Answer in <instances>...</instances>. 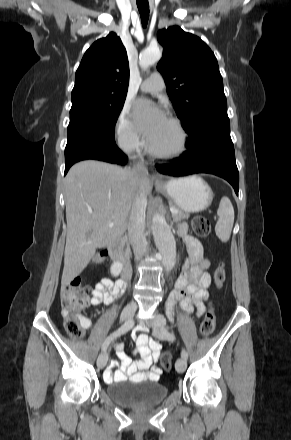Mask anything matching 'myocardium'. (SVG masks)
Masks as SVG:
<instances>
[{
    "mask_svg": "<svg viewBox=\"0 0 291 440\" xmlns=\"http://www.w3.org/2000/svg\"><path fill=\"white\" fill-rule=\"evenodd\" d=\"M168 120L170 121V123L172 124L174 130L176 131V133L178 135V145L175 150L164 152V151H160V150L154 148L149 143V141H147L146 142L147 151L150 153V155H152L153 157H155L157 159L173 160V159L181 157L187 149V133H186L185 129L183 128L182 124L180 123V121L178 119H176L174 117H168Z\"/></svg>",
    "mask_w": 291,
    "mask_h": 440,
    "instance_id": "obj_1",
    "label": "myocardium"
}]
</instances>
